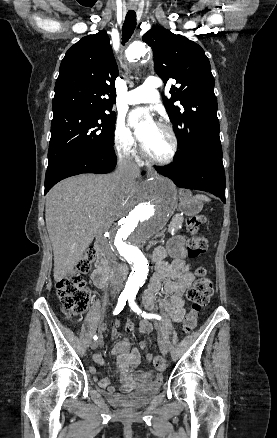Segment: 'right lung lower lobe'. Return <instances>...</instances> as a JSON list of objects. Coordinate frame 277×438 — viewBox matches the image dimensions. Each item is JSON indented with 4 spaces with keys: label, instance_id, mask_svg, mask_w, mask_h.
I'll use <instances>...</instances> for the list:
<instances>
[{
    "label": "right lung lower lobe",
    "instance_id": "right-lung-lower-lobe-1",
    "mask_svg": "<svg viewBox=\"0 0 277 438\" xmlns=\"http://www.w3.org/2000/svg\"><path fill=\"white\" fill-rule=\"evenodd\" d=\"M116 163L115 152L109 151H98L60 160L47 168L45 194L62 179L82 173H109Z\"/></svg>",
    "mask_w": 277,
    "mask_h": 438
}]
</instances>
